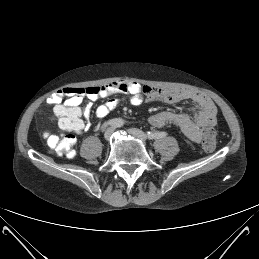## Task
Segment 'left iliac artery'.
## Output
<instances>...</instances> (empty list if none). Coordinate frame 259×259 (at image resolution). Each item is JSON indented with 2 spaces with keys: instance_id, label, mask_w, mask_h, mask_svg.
I'll list each match as a JSON object with an SVG mask.
<instances>
[{
  "instance_id": "1",
  "label": "left iliac artery",
  "mask_w": 259,
  "mask_h": 259,
  "mask_svg": "<svg viewBox=\"0 0 259 259\" xmlns=\"http://www.w3.org/2000/svg\"><path fill=\"white\" fill-rule=\"evenodd\" d=\"M149 132L153 133L155 135L156 139L164 138V137L167 136V133L163 132V131H161V132H159V131H149Z\"/></svg>"
}]
</instances>
